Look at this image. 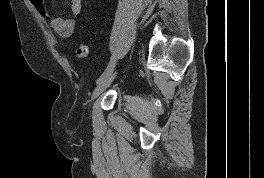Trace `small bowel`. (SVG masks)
I'll use <instances>...</instances> for the list:
<instances>
[{
  "instance_id": "c3829d8e",
  "label": "small bowel",
  "mask_w": 264,
  "mask_h": 178,
  "mask_svg": "<svg viewBox=\"0 0 264 178\" xmlns=\"http://www.w3.org/2000/svg\"><path fill=\"white\" fill-rule=\"evenodd\" d=\"M70 9L71 15L68 18L52 15L47 18L49 26L63 38L71 36L74 32L82 9V0H71Z\"/></svg>"
}]
</instances>
